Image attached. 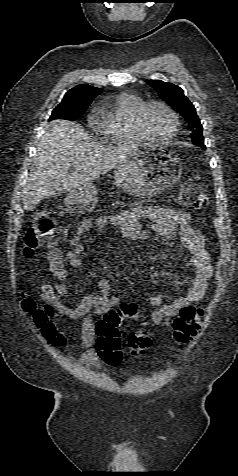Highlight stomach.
<instances>
[{
  "instance_id": "1",
  "label": "stomach",
  "mask_w": 238,
  "mask_h": 476,
  "mask_svg": "<svg viewBox=\"0 0 238 476\" xmlns=\"http://www.w3.org/2000/svg\"><path fill=\"white\" fill-rule=\"evenodd\" d=\"M183 163L171 150L134 151L116 166V186L129 195L150 196L172 187L182 174ZM98 190L93 183L73 188L65 198L66 208L74 213L92 211L98 202Z\"/></svg>"
}]
</instances>
